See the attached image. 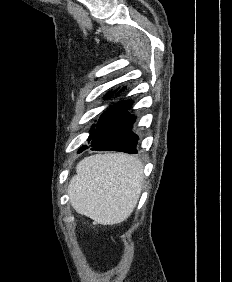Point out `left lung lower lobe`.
I'll return each mask as SVG.
<instances>
[{"label":"left lung lower lobe","instance_id":"left-lung-lower-lobe-1","mask_svg":"<svg viewBox=\"0 0 232 282\" xmlns=\"http://www.w3.org/2000/svg\"><path fill=\"white\" fill-rule=\"evenodd\" d=\"M132 105L131 100H121L110 106L99 118L96 129L89 140L91 150L120 151L137 153L138 136L131 132L135 117L126 112ZM84 145L78 152L87 149Z\"/></svg>","mask_w":232,"mask_h":282}]
</instances>
